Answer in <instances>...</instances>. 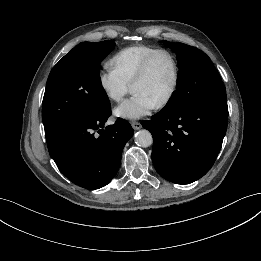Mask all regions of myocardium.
Segmentation results:
<instances>
[{"label": "myocardium", "mask_w": 261, "mask_h": 261, "mask_svg": "<svg viewBox=\"0 0 261 261\" xmlns=\"http://www.w3.org/2000/svg\"><path fill=\"white\" fill-rule=\"evenodd\" d=\"M160 54L167 55L172 61L173 81H172V85H171L168 93L166 94V96L159 103L156 104V108H158V109L167 106L170 103V101L173 99V97L178 89L179 78H180V68H179V63H178V60H177L175 54L168 49L160 48V49L155 50L154 52H152L145 58V60L141 64L137 74L135 75L134 79L131 82V88H132L136 83L143 80L147 76L153 60Z\"/></svg>", "instance_id": "myocardium-1"}]
</instances>
